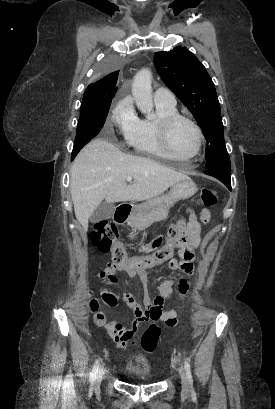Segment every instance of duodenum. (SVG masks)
I'll return each mask as SVG.
<instances>
[{"label":"duodenum","instance_id":"1","mask_svg":"<svg viewBox=\"0 0 275 409\" xmlns=\"http://www.w3.org/2000/svg\"><path fill=\"white\" fill-rule=\"evenodd\" d=\"M132 211V206L130 204H121L117 207L116 212L114 214V220L118 224H123L125 223Z\"/></svg>","mask_w":275,"mask_h":409}]
</instances>
